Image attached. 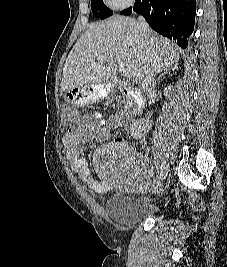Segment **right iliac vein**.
I'll use <instances>...</instances> for the list:
<instances>
[{
	"label": "right iliac vein",
	"instance_id": "obj_1",
	"mask_svg": "<svg viewBox=\"0 0 227 267\" xmlns=\"http://www.w3.org/2000/svg\"><path fill=\"white\" fill-rule=\"evenodd\" d=\"M160 186H161V178L154 181L152 194H155L160 189Z\"/></svg>",
	"mask_w": 227,
	"mask_h": 267
}]
</instances>
